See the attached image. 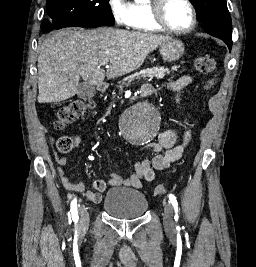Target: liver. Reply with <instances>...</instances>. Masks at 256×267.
Returning <instances> with one entry per match:
<instances>
[{"label":"liver","instance_id":"obj_1","mask_svg":"<svg viewBox=\"0 0 256 267\" xmlns=\"http://www.w3.org/2000/svg\"><path fill=\"white\" fill-rule=\"evenodd\" d=\"M169 36L128 32L118 28H65L44 40L38 56V102H64L77 94L82 78L100 86L105 78L125 76L142 66L146 56ZM109 62V68H100Z\"/></svg>","mask_w":256,"mask_h":267}]
</instances>
